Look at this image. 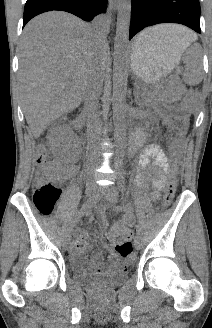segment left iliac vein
Here are the masks:
<instances>
[{
    "mask_svg": "<svg viewBox=\"0 0 212 328\" xmlns=\"http://www.w3.org/2000/svg\"><path fill=\"white\" fill-rule=\"evenodd\" d=\"M100 194L103 195L107 200L112 203L117 202L118 199V191L114 186L107 187L106 189L100 190ZM134 246L136 249H141L142 247V239L140 236H136L134 238Z\"/></svg>",
    "mask_w": 212,
    "mask_h": 328,
    "instance_id": "left-iliac-vein-1",
    "label": "left iliac vein"
}]
</instances>
